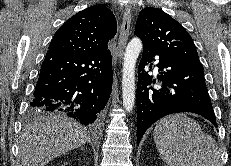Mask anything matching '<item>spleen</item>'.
Returning <instances> with one entry per match:
<instances>
[{
  "label": "spleen",
  "instance_id": "obj_1",
  "mask_svg": "<svg viewBox=\"0 0 231 166\" xmlns=\"http://www.w3.org/2000/svg\"><path fill=\"white\" fill-rule=\"evenodd\" d=\"M153 135L161 159L169 166H222L215 139L183 113L159 120Z\"/></svg>",
  "mask_w": 231,
  "mask_h": 166
}]
</instances>
